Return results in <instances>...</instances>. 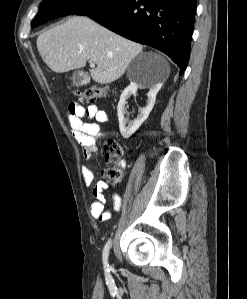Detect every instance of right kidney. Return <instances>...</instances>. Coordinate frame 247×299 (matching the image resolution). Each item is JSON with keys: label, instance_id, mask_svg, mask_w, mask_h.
<instances>
[{"label": "right kidney", "instance_id": "ca27d5eb", "mask_svg": "<svg viewBox=\"0 0 247 299\" xmlns=\"http://www.w3.org/2000/svg\"><path fill=\"white\" fill-rule=\"evenodd\" d=\"M161 86L162 84H155L150 86V90L148 92L147 105L139 110L140 114L134 121H129L127 118L124 117V115L126 114L125 104L126 100L132 94H135L137 90L142 86L136 82H131L130 85L122 92L117 106V114L119 120V128L123 138L128 139L129 137H131L141 126V124L148 118L149 113L153 109L156 95L160 90Z\"/></svg>", "mask_w": 247, "mask_h": 299}]
</instances>
